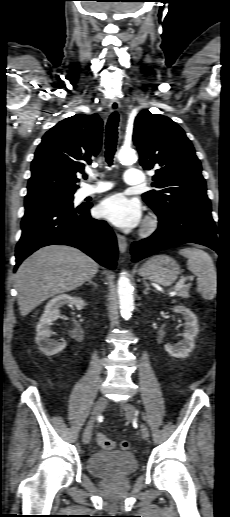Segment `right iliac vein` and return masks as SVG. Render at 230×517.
<instances>
[{
    "mask_svg": "<svg viewBox=\"0 0 230 517\" xmlns=\"http://www.w3.org/2000/svg\"><path fill=\"white\" fill-rule=\"evenodd\" d=\"M107 405V399L104 396H101L97 399L95 402V405L93 407L90 420L85 428L84 434H83V442L84 444H88L90 442L91 436H92V429L93 424L96 421V419L100 416L102 411Z\"/></svg>",
    "mask_w": 230,
    "mask_h": 517,
    "instance_id": "63e3f726",
    "label": "right iliac vein"
}]
</instances>
